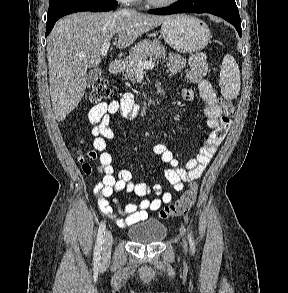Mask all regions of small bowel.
<instances>
[{"label": "small bowel", "instance_id": "c3829d8e", "mask_svg": "<svg viewBox=\"0 0 288 293\" xmlns=\"http://www.w3.org/2000/svg\"><path fill=\"white\" fill-rule=\"evenodd\" d=\"M189 67L185 79L198 87L199 95L205 102L204 114L207 118V125L212 132L200 147L197 156L191 159L185 167H182L173 153L164 144H155L152 151L161 157L164 163L171 168L166 169L164 174L174 191H181L184 184L201 176L206 166L216 153L229 129V119L225 118L222 112L217 94L211 83L205 79L207 63L205 56L201 53L194 54L188 61L178 54L168 56L167 67L169 71L177 75L183 68ZM182 98L192 101L194 93L188 88L181 91ZM140 111V105L131 92H125L119 100L109 103L102 102L93 106L89 113V121L94 125L92 135L94 148L100 152L98 171L101 180L94 187L97 196L98 207L101 212L109 217H116L121 214L123 218H116L117 226L126 228L148 218V211H156L163 204L173 199L171 191H164L160 184L148 186L145 183L132 182L131 172L123 169L116 176L113 167V159L107 151V141L114 139L115 135L110 127V115H119L123 118H133ZM125 191L137 197H146L150 194L154 199L144 198L140 202H131L121 206L115 193ZM113 204V206H112Z\"/></svg>", "mask_w": 288, "mask_h": 293}]
</instances>
